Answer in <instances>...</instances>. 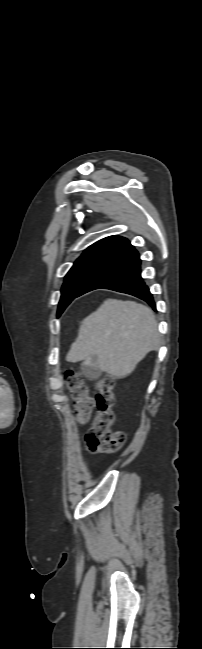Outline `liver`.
I'll list each match as a JSON object with an SVG mask.
<instances>
[{"label": "liver", "mask_w": 202, "mask_h": 649, "mask_svg": "<svg viewBox=\"0 0 202 649\" xmlns=\"http://www.w3.org/2000/svg\"><path fill=\"white\" fill-rule=\"evenodd\" d=\"M159 346L157 322L149 307L108 299L81 322L66 361L83 360L85 365H97L115 378H124ZM93 356H97L94 364Z\"/></svg>", "instance_id": "6515ba94"}]
</instances>
